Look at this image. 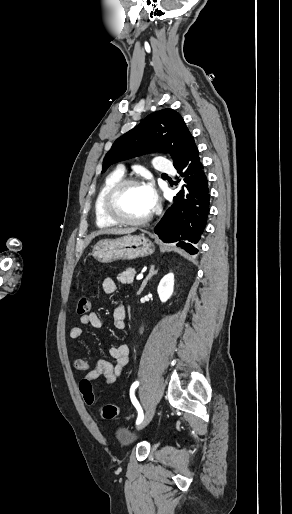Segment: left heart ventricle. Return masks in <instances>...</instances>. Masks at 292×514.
Segmentation results:
<instances>
[{
  "label": "left heart ventricle",
  "instance_id": "1",
  "mask_svg": "<svg viewBox=\"0 0 292 514\" xmlns=\"http://www.w3.org/2000/svg\"><path fill=\"white\" fill-rule=\"evenodd\" d=\"M113 208L126 219H138L150 211L141 186L120 190L113 198Z\"/></svg>",
  "mask_w": 292,
  "mask_h": 514
}]
</instances>
